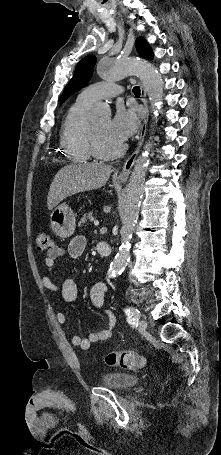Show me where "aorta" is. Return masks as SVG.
<instances>
[{
    "label": "aorta",
    "instance_id": "762f6f07",
    "mask_svg": "<svg viewBox=\"0 0 221 455\" xmlns=\"http://www.w3.org/2000/svg\"><path fill=\"white\" fill-rule=\"evenodd\" d=\"M97 73L106 81L121 80L130 75L139 76L149 96L154 117L157 118L163 101V81L161 74L153 65L143 59L121 57L117 60H103L97 67ZM110 112V108L106 103H99L91 112L90 119L92 121L99 120L109 116ZM152 130L154 131L153 126ZM150 140H152V137H150ZM152 145V141L146 143L144 152L136 160L129 179L126 199L121 212V245L110 265L112 276L120 274L130 259V242L143 197L144 181L149 163V151Z\"/></svg>",
    "mask_w": 221,
    "mask_h": 455
}]
</instances>
